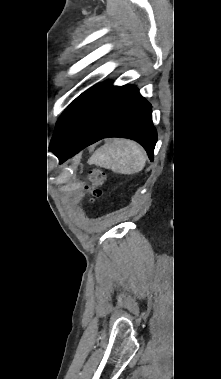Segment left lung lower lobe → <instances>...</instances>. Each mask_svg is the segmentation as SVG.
I'll use <instances>...</instances> for the list:
<instances>
[{
	"instance_id": "obj_1",
	"label": "left lung lower lobe",
	"mask_w": 221,
	"mask_h": 379,
	"mask_svg": "<svg viewBox=\"0 0 221 379\" xmlns=\"http://www.w3.org/2000/svg\"><path fill=\"white\" fill-rule=\"evenodd\" d=\"M151 113L150 103L137 88L110 85L55 154L63 163L100 139L124 137L139 142L152 161L157 134Z\"/></svg>"
}]
</instances>
